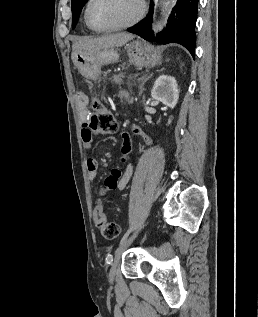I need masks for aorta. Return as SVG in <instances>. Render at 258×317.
Returning a JSON list of instances; mask_svg holds the SVG:
<instances>
[{
	"instance_id": "obj_1",
	"label": "aorta",
	"mask_w": 258,
	"mask_h": 317,
	"mask_svg": "<svg viewBox=\"0 0 258 317\" xmlns=\"http://www.w3.org/2000/svg\"><path fill=\"white\" fill-rule=\"evenodd\" d=\"M165 4H166V7H167V6H168V4H169V2H166Z\"/></svg>"
}]
</instances>
